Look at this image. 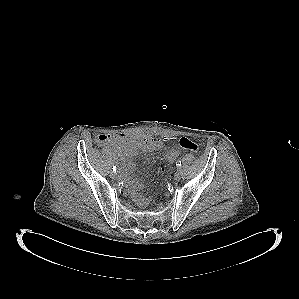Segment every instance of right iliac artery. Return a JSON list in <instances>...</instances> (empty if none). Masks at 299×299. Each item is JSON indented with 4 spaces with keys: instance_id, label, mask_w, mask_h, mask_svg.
I'll list each match as a JSON object with an SVG mask.
<instances>
[{
    "instance_id": "right-iliac-artery-1",
    "label": "right iliac artery",
    "mask_w": 299,
    "mask_h": 299,
    "mask_svg": "<svg viewBox=\"0 0 299 299\" xmlns=\"http://www.w3.org/2000/svg\"><path fill=\"white\" fill-rule=\"evenodd\" d=\"M112 169H113V171H115V172H116V166H113V168H112Z\"/></svg>"
}]
</instances>
